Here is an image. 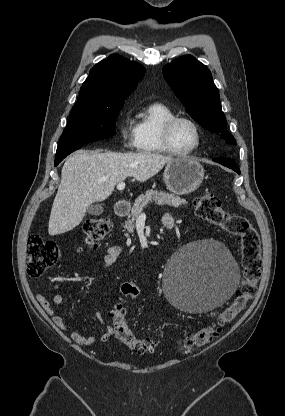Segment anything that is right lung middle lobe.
Instances as JSON below:
<instances>
[{
	"label": "right lung middle lobe",
	"mask_w": 285,
	"mask_h": 416,
	"mask_svg": "<svg viewBox=\"0 0 285 416\" xmlns=\"http://www.w3.org/2000/svg\"><path fill=\"white\" fill-rule=\"evenodd\" d=\"M124 102L102 105L75 104L63 131L59 146L92 142L112 137L116 132V119Z\"/></svg>",
	"instance_id": "dd1d6c3e"
}]
</instances>
